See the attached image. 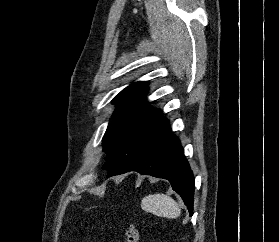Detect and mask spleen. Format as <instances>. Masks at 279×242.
<instances>
[{
  "label": "spleen",
  "instance_id": "3e777b00",
  "mask_svg": "<svg viewBox=\"0 0 279 242\" xmlns=\"http://www.w3.org/2000/svg\"><path fill=\"white\" fill-rule=\"evenodd\" d=\"M141 207L143 210L161 217L177 218L181 214L179 204L170 196L160 193L144 197Z\"/></svg>",
  "mask_w": 279,
  "mask_h": 242
}]
</instances>
